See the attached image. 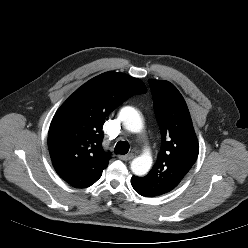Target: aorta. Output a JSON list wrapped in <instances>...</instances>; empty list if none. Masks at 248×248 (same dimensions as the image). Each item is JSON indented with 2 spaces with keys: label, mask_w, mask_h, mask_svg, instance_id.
Wrapping results in <instances>:
<instances>
[{
  "label": "aorta",
  "mask_w": 248,
  "mask_h": 248,
  "mask_svg": "<svg viewBox=\"0 0 248 248\" xmlns=\"http://www.w3.org/2000/svg\"><path fill=\"white\" fill-rule=\"evenodd\" d=\"M120 119L126 130L132 133H139L143 129V122L136 109L130 106L123 107L120 111ZM152 166V157L147 152L131 162V170L135 175L147 174Z\"/></svg>",
  "instance_id": "762f6f07"
}]
</instances>
